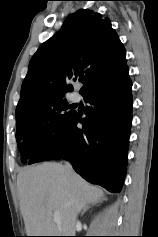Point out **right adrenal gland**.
<instances>
[{
	"label": "right adrenal gland",
	"mask_w": 158,
	"mask_h": 237,
	"mask_svg": "<svg viewBox=\"0 0 158 237\" xmlns=\"http://www.w3.org/2000/svg\"><path fill=\"white\" fill-rule=\"evenodd\" d=\"M95 203H93L92 205H94ZM90 208V206H86L82 212H81V216H83V214Z\"/></svg>",
	"instance_id": "obj_1"
}]
</instances>
